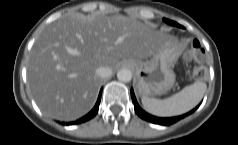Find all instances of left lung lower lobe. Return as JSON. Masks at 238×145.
<instances>
[{
  "instance_id": "1",
  "label": "left lung lower lobe",
  "mask_w": 238,
  "mask_h": 145,
  "mask_svg": "<svg viewBox=\"0 0 238 145\" xmlns=\"http://www.w3.org/2000/svg\"><path fill=\"white\" fill-rule=\"evenodd\" d=\"M178 27H181V26L179 25ZM131 97H132V101H133L134 107H135V112L137 113V115L140 118H142V119H144L146 121H149V122H152V123H155V124H159V125H167L168 126V125L174 124L175 122L183 119L187 115L193 113L198 108V106H197L192 111L188 112L187 114L181 115V116L171 117V118H159V117L152 116V115L146 113L145 111H143L141 109V107L137 103V100L135 98L133 89H131Z\"/></svg>"
}]
</instances>
